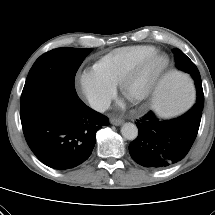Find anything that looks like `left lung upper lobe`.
<instances>
[{
    "instance_id": "5c2ea615",
    "label": "left lung upper lobe",
    "mask_w": 215,
    "mask_h": 215,
    "mask_svg": "<svg viewBox=\"0 0 215 215\" xmlns=\"http://www.w3.org/2000/svg\"><path fill=\"white\" fill-rule=\"evenodd\" d=\"M175 56L176 67L186 73H189L194 81L197 88V91L202 90V82L200 73L197 67L192 63V61L179 49H173Z\"/></svg>"
}]
</instances>
